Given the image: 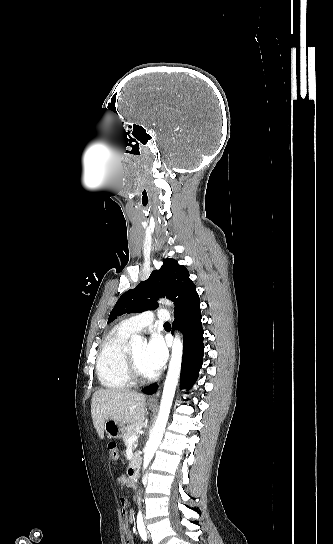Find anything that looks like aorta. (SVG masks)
<instances>
[{
  "label": "aorta",
  "instance_id": "762f6f07",
  "mask_svg": "<svg viewBox=\"0 0 333 544\" xmlns=\"http://www.w3.org/2000/svg\"><path fill=\"white\" fill-rule=\"evenodd\" d=\"M167 305H172L171 302L167 299H163ZM143 339L139 335H134L131 337L130 345L132 348L141 347ZM183 354V342L180 338V335L177 333L172 346L171 359L169 363V368L163 388L159 414L156 419L155 425L151 431L149 440L146 443L144 449V458H143V470H145L150 461L152 460L158 446L161 443L163 433L169 418L170 409L172 406L173 398L176 391V386L179 379V374L181 370Z\"/></svg>",
  "mask_w": 333,
  "mask_h": 544
}]
</instances>
